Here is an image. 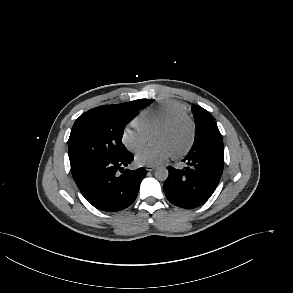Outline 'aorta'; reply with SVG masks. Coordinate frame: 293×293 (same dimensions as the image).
Wrapping results in <instances>:
<instances>
[{
  "label": "aorta",
  "mask_w": 293,
  "mask_h": 293,
  "mask_svg": "<svg viewBox=\"0 0 293 293\" xmlns=\"http://www.w3.org/2000/svg\"><path fill=\"white\" fill-rule=\"evenodd\" d=\"M168 170L165 167H158L155 170V177L156 179H158L159 181H164L167 179L168 177Z\"/></svg>",
  "instance_id": "aorta-1"
}]
</instances>
